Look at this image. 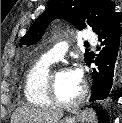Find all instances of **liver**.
Returning a JSON list of instances; mask_svg holds the SVG:
<instances>
[{
    "mask_svg": "<svg viewBox=\"0 0 122 123\" xmlns=\"http://www.w3.org/2000/svg\"><path fill=\"white\" fill-rule=\"evenodd\" d=\"M63 116L60 110L20 107L11 117V123H57Z\"/></svg>",
    "mask_w": 122,
    "mask_h": 123,
    "instance_id": "liver-1",
    "label": "liver"
}]
</instances>
